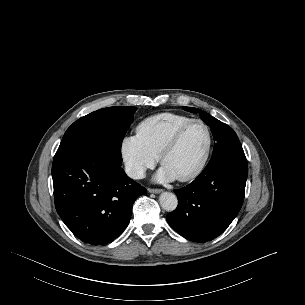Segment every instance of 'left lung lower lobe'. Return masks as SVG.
<instances>
[{
  "label": "left lung lower lobe",
  "instance_id": "1",
  "mask_svg": "<svg viewBox=\"0 0 305 305\" xmlns=\"http://www.w3.org/2000/svg\"><path fill=\"white\" fill-rule=\"evenodd\" d=\"M247 176L244 151L229 153L207 164L192 183L174 190L178 206L166 216L167 222L188 240H213L238 214Z\"/></svg>",
  "mask_w": 305,
  "mask_h": 305
}]
</instances>
